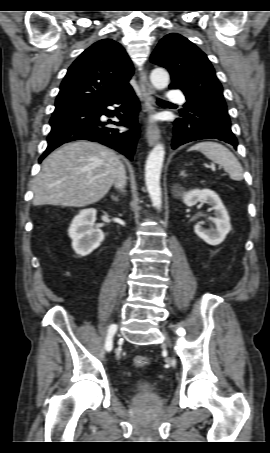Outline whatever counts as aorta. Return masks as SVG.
<instances>
[{"label":"aorta","instance_id":"1","mask_svg":"<svg viewBox=\"0 0 270 453\" xmlns=\"http://www.w3.org/2000/svg\"><path fill=\"white\" fill-rule=\"evenodd\" d=\"M152 85L157 90L165 89L169 84V74L163 68H156L150 74ZM165 148L159 143L150 151L145 165V184L152 201L158 210L162 206V192L160 187V176L164 162Z\"/></svg>","mask_w":270,"mask_h":453}]
</instances>
